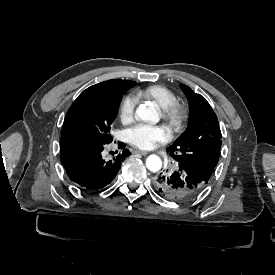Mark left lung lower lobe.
Instances as JSON below:
<instances>
[{
    "instance_id": "obj_1",
    "label": "left lung lower lobe",
    "mask_w": 275,
    "mask_h": 275,
    "mask_svg": "<svg viewBox=\"0 0 275 275\" xmlns=\"http://www.w3.org/2000/svg\"><path fill=\"white\" fill-rule=\"evenodd\" d=\"M206 184V181H203L183 166H179L177 170L171 173H161L154 180V186L162 196L177 201L196 196Z\"/></svg>"
}]
</instances>
